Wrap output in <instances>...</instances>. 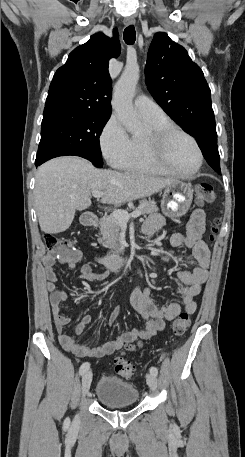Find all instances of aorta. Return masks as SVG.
Here are the masks:
<instances>
[{"label":"aorta","mask_w":245,"mask_h":457,"mask_svg":"<svg viewBox=\"0 0 245 457\" xmlns=\"http://www.w3.org/2000/svg\"><path fill=\"white\" fill-rule=\"evenodd\" d=\"M138 80V68L127 66L115 85L112 100V106L118 119L131 133H140L143 130L142 123L132 104Z\"/></svg>","instance_id":"1"}]
</instances>
